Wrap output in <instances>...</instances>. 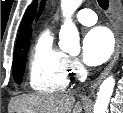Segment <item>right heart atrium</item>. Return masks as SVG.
I'll use <instances>...</instances> for the list:
<instances>
[{
  "label": "right heart atrium",
  "mask_w": 123,
  "mask_h": 113,
  "mask_svg": "<svg viewBox=\"0 0 123 113\" xmlns=\"http://www.w3.org/2000/svg\"><path fill=\"white\" fill-rule=\"evenodd\" d=\"M68 69L69 72L75 76H80L83 72V66L80 61L76 58H68Z\"/></svg>",
  "instance_id": "right-heart-atrium-1"
}]
</instances>
